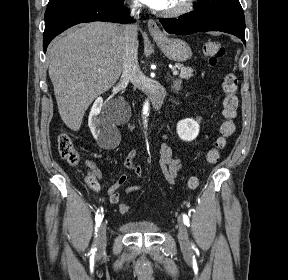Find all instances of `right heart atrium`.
<instances>
[{
	"label": "right heart atrium",
	"mask_w": 288,
	"mask_h": 280,
	"mask_svg": "<svg viewBox=\"0 0 288 280\" xmlns=\"http://www.w3.org/2000/svg\"><path fill=\"white\" fill-rule=\"evenodd\" d=\"M130 6L133 9H139L141 6V0H130Z\"/></svg>",
	"instance_id": "obj_1"
}]
</instances>
